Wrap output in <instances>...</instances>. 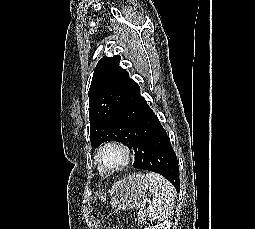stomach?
Returning <instances> with one entry per match:
<instances>
[{"label":"stomach","instance_id":"0dacf381","mask_svg":"<svg viewBox=\"0 0 255 229\" xmlns=\"http://www.w3.org/2000/svg\"><path fill=\"white\" fill-rule=\"evenodd\" d=\"M148 189V179L141 173H134L116 182L111 189V206L116 210H130L140 204Z\"/></svg>","mask_w":255,"mask_h":229}]
</instances>
